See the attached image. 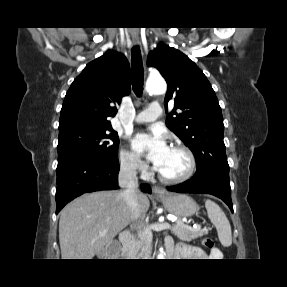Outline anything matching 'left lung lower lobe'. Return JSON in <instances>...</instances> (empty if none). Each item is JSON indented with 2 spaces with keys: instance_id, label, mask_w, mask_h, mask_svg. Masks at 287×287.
I'll return each instance as SVG.
<instances>
[{
  "instance_id": "1",
  "label": "left lung lower lobe",
  "mask_w": 287,
  "mask_h": 287,
  "mask_svg": "<svg viewBox=\"0 0 287 287\" xmlns=\"http://www.w3.org/2000/svg\"><path fill=\"white\" fill-rule=\"evenodd\" d=\"M177 193L211 194L222 199L233 212L229 178L215 175L190 180L175 186L167 187Z\"/></svg>"
}]
</instances>
